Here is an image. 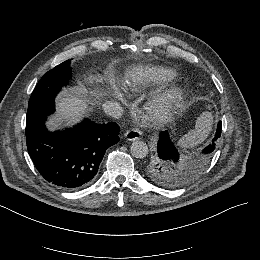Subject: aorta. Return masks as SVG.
Masks as SVG:
<instances>
[{
	"label": "aorta",
	"mask_w": 260,
	"mask_h": 260,
	"mask_svg": "<svg viewBox=\"0 0 260 260\" xmlns=\"http://www.w3.org/2000/svg\"><path fill=\"white\" fill-rule=\"evenodd\" d=\"M131 154L136 158H144L148 154V146L145 142L136 140L131 144Z\"/></svg>",
	"instance_id": "aorta-1"
}]
</instances>
